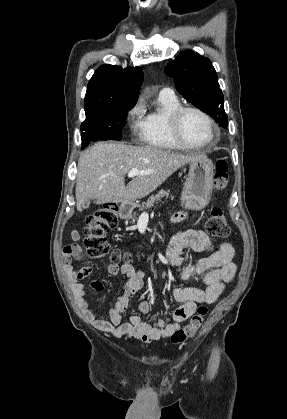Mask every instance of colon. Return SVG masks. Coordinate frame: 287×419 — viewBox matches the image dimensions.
Returning <instances> with one entry per match:
<instances>
[{
	"mask_svg": "<svg viewBox=\"0 0 287 419\" xmlns=\"http://www.w3.org/2000/svg\"><path fill=\"white\" fill-rule=\"evenodd\" d=\"M228 165L224 159L216 163L214 184L219 190L226 188L228 184ZM118 222L117 206L114 203H107L96 210L86 220V227L83 230L84 243L89 256L101 258L110 255L116 261L119 257L129 260L128 253L111 251L107 242L106 234L114 229ZM206 232L215 238H226L230 234V228L226 223L220 209H214L208 218L205 226ZM208 313L205 304L200 305L197 312L192 316L190 322L183 328L176 330L170 339L173 343H182L193 337L204 322Z\"/></svg>",
	"mask_w": 287,
	"mask_h": 419,
	"instance_id": "obj_1",
	"label": "colon"
}]
</instances>
